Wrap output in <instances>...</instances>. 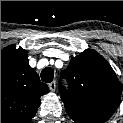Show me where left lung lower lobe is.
<instances>
[{
    "label": "left lung lower lobe",
    "mask_w": 123,
    "mask_h": 123,
    "mask_svg": "<svg viewBox=\"0 0 123 123\" xmlns=\"http://www.w3.org/2000/svg\"><path fill=\"white\" fill-rule=\"evenodd\" d=\"M73 120L76 122V123H102L98 120H94V119H89L87 117H84V116H77V117H74Z\"/></svg>",
    "instance_id": "1"
}]
</instances>
